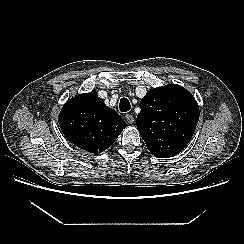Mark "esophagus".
Segmentation results:
<instances>
[{"label":"esophagus","mask_w":244,"mask_h":244,"mask_svg":"<svg viewBox=\"0 0 244 244\" xmlns=\"http://www.w3.org/2000/svg\"><path fill=\"white\" fill-rule=\"evenodd\" d=\"M126 120L129 124H133L134 123V117L131 114H126Z\"/></svg>","instance_id":"esophagus-1"}]
</instances>
